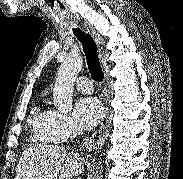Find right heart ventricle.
<instances>
[{
  "mask_svg": "<svg viewBox=\"0 0 183 179\" xmlns=\"http://www.w3.org/2000/svg\"><path fill=\"white\" fill-rule=\"evenodd\" d=\"M51 110L43 109L41 106H37L34 110V114L30 120V125L42 142L51 141V137L47 132L46 124L49 118Z\"/></svg>",
  "mask_w": 183,
  "mask_h": 179,
  "instance_id": "e07e8e85",
  "label": "right heart ventricle"
}]
</instances>
